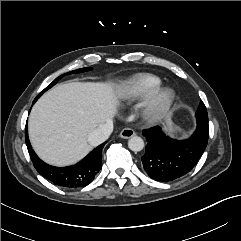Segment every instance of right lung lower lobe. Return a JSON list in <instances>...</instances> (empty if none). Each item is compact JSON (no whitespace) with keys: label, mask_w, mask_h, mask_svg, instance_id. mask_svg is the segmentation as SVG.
<instances>
[{"label":"right lung lower lobe","mask_w":241,"mask_h":241,"mask_svg":"<svg viewBox=\"0 0 241 241\" xmlns=\"http://www.w3.org/2000/svg\"><path fill=\"white\" fill-rule=\"evenodd\" d=\"M34 100L33 103H35ZM25 141L31 160L36 170L54 184L65 188L84 187L93 181L96 174L102 168V149L105 143L96 147L79 163L68 167H54L43 162L32 150L27 126L25 129Z\"/></svg>","instance_id":"right-lung-lower-lobe-1"}]
</instances>
